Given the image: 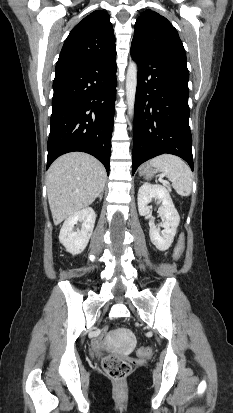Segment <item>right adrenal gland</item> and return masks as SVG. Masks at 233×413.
<instances>
[{"mask_svg": "<svg viewBox=\"0 0 233 413\" xmlns=\"http://www.w3.org/2000/svg\"><path fill=\"white\" fill-rule=\"evenodd\" d=\"M102 197H103V191L99 194L100 201L102 200Z\"/></svg>", "mask_w": 233, "mask_h": 413, "instance_id": "1", "label": "right adrenal gland"}]
</instances>
